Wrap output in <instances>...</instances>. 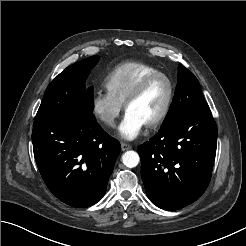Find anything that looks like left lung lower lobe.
<instances>
[{
  "label": "left lung lower lobe",
  "mask_w": 246,
  "mask_h": 246,
  "mask_svg": "<svg viewBox=\"0 0 246 246\" xmlns=\"http://www.w3.org/2000/svg\"><path fill=\"white\" fill-rule=\"evenodd\" d=\"M216 144L217 126L209 107L161 126L138 148L141 176L151 202L172 211L196 201L210 182Z\"/></svg>",
  "instance_id": "1"
}]
</instances>
